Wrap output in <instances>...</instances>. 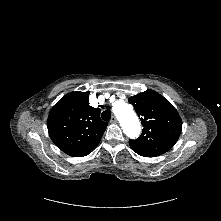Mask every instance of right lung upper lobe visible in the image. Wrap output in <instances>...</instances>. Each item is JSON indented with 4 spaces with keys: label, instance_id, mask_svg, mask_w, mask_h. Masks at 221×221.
Wrapping results in <instances>:
<instances>
[{
    "label": "right lung upper lobe",
    "instance_id": "obj_1",
    "mask_svg": "<svg viewBox=\"0 0 221 221\" xmlns=\"http://www.w3.org/2000/svg\"><path fill=\"white\" fill-rule=\"evenodd\" d=\"M99 114V108L89 105V92L68 93L49 113V135L67 155L86 156L97 147L108 125Z\"/></svg>",
    "mask_w": 221,
    "mask_h": 221
}]
</instances>
